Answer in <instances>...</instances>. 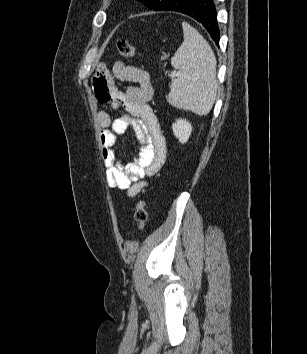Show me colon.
<instances>
[{"mask_svg":"<svg viewBox=\"0 0 307 354\" xmlns=\"http://www.w3.org/2000/svg\"><path fill=\"white\" fill-rule=\"evenodd\" d=\"M117 48L120 55L124 58L130 59L135 55L134 46L125 39L118 40ZM134 220L139 229H142L148 220V210L143 200H139L134 206Z\"/></svg>","mask_w":307,"mask_h":354,"instance_id":"1","label":"colon"}]
</instances>
